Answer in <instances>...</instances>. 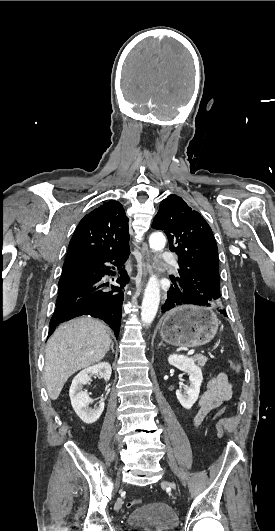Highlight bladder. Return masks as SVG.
<instances>
[{
	"label": "bladder",
	"instance_id": "31cf9c89",
	"mask_svg": "<svg viewBox=\"0 0 275 531\" xmlns=\"http://www.w3.org/2000/svg\"><path fill=\"white\" fill-rule=\"evenodd\" d=\"M129 522L137 531H174L179 519L168 504L159 502L138 506L130 513Z\"/></svg>",
	"mask_w": 275,
	"mask_h": 531
}]
</instances>
